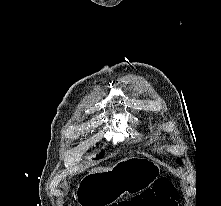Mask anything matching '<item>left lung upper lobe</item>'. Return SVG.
<instances>
[{
  "mask_svg": "<svg viewBox=\"0 0 221 206\" xmlns=\"http://www.w3.org/2000/svg\"><path fill=\"white\" fill-rule=\"evenodd\" d=\"M177 163L182 164V161L180 159H177Z\"/></svg>",
  "mask_w": 221,
  "mask_h": 206,
  "instance_id": "obj_1",
  "label": "left lung upper lobe"
}]
</instances>
